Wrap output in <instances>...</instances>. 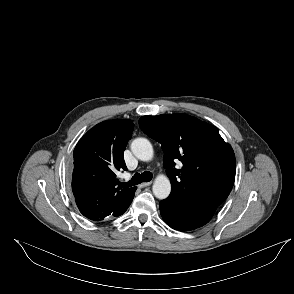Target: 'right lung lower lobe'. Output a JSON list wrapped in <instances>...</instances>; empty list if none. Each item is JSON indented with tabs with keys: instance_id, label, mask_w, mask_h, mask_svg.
<instances>
[{
	"instance_id": "obj_1",
	"label": "right lung lower lobe",
	"mask_w": 294,
	"mask_h": 294,
	"mask_svg": "<svg viewBox=\"0 0 294 294\" xmlns=\"http://www.w3.org/2000/svg\"><path fill=\"white\" fill-rule=\"evenodd\" d=\"M134 193H135V191H134ZM134 193L132 194V196L130 197V199L126 202V204L114 216H120V215H122L127 210V208L129 207V205L131 204V202L133 200Z\"/></svg>"
}]
</instances>
